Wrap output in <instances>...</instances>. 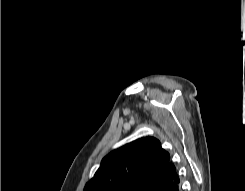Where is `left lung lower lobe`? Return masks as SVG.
Here are the masks:
<instances>
[{
	"instance_id": "obj_1",
	"label": "left lung lower lobe",
	"mask_w": 245,
	"mask_h": 191,
	"mask_svg": "<svg viewBox=\"0 0 245 191\" xmlns=\"http://www.w3.org/2000/svg\"><path fill=\"white\" fill-rule=\"evenodd\" d=\"M158 191H181L180 178L177 170H175L170 179Z\"/></svg>"
}]
</instances>
